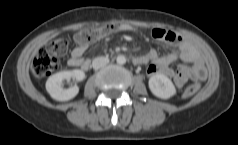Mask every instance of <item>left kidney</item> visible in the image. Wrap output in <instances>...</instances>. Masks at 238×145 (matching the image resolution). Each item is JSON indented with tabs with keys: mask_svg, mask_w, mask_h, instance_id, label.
<instances>
[{
	"mask_svg": "<svg viewBox=\"0 0 238 145\" xmlns=\"http://www.w3.org/2000/svg\"><path fill=\"white\" fill-rule=\"evenodd\" d=\"M151 92L162 99H168L176 94V89L172 81L163 74H155L149 79Z\"/></svg>",
	"mask_w": 238,
	"mask_h": 145,
	"instance_id": "obj_1",
	"label": "left kidney"
}]
</instances>
